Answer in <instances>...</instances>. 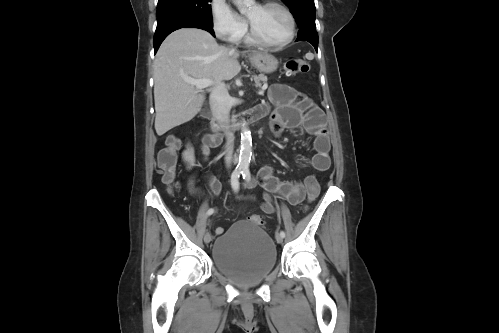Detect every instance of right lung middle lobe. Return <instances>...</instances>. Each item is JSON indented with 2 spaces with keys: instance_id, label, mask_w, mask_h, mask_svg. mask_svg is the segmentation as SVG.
I'll use <instances>...</instances> for the list:
<instances>
[{
  "instance_id": "right-lung-middle-lobe-1",
  "label": "right lung middle lobe",
  "mask_w": 499,
  "mask_h": 333,
  "mask_svg": "<svg viewBox=\"0 0 499 333\" xmlns=\"http://www.w3.org/2000/svg\"><path fill=\"white\" fill-rule=\"evenodd\" d=\"M212 0H158L157 28L180 21L212 23Z\"/></svg>"
}]
</instances>
